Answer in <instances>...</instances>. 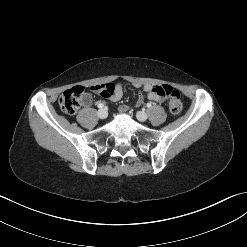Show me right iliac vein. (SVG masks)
Wrapping results in <instances>:
<instances>
[{"mask_svg":"<svg viewBox=\"0 0 247 247\" xmlns=\"http://www.w3.org/2000/svg\"><path fill=\"white\" fill-rule=\"evenodd\" d=\"M97 115L100 119H105L107 118L108 116V112L105 110V109H100L98 112H97Z\"/></svg>","mask_w":247,"mask_h":247,"instance_id":"1","label":"right iliac vein"}]
</instances>
